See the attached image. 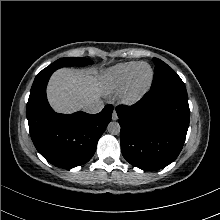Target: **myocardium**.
<instances>
[{"mask_svg":"<svg viewBox=\"0 0 220 220\" xmlns=\"http://www.w3.org/2000/svg\"><path fill=\"white\" fill-rule=\"evenodd\" d=\"M142 66H147L150 70V74L148 79L143 83H138L136 76L137 72ZM153 70L151 66L147 63H139L135 69L133 70L132 74L130 75L129 81L125 87L124 93H123V100L127 104H135L138 101H140L144 95L149 90L152 81H153Z\"/></svg>","mask_w":220,"mask_h":220,"instance_id":"1","label":"myocardium"}]
</instances>
